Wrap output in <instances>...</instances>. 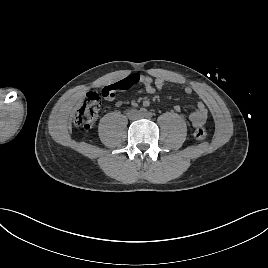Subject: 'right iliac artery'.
<instances>
[{"instance_id":"1","label":"right iliac artery","mask_w":268,"mask_h":268,"mask_svg":"<svg viewBox=\"0 0 268 268\" xmlns=\"http://www.w3.org/2000/svg\"><path fill=\"white\" fill-rule=\"evenodd\" d=\"M139 113L142 114V115H146L147 110L145 108H140Z\"/></svg>"}]
</instances>
